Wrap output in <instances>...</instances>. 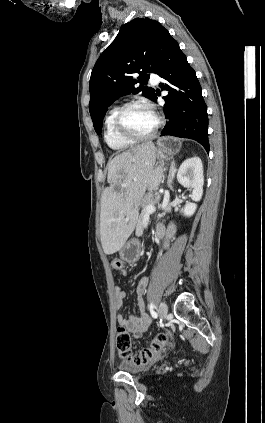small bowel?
<instances>
[{
  "label": "small bowel",
  "mask_w": 265,
  "mask_h": 423,
  "mask_svg": "<svg viewBox=\"0 0 265 423\" xmlns=\"http://www.w3.org/2000/svg\"><path fill=\"white\" fill-rule=\"evenodd\" d=\"M158 229L165 230V243L164 246L167 247L170 240L175 234V226L173 224L168 225L167 227L159 224L156 226V231ZM121 276L127 275V270L123 268L120 272H118ZM148 285V278L142 277L136 287H135V294L137 296V309L139 312V316H131V315H122L117 314L116 321L119 326L125 327L134 337L139 338L142 336L149 328L151 324V319L149 315L146 313L145 310V303L143 299V295L146 292ZM114 295H115V307L119 309L122 306V301L126 297V292L121 289L119 286L114 287Z\"/></svg>",
  "instance_id": "small-bowel-1"
}]
</instances>
